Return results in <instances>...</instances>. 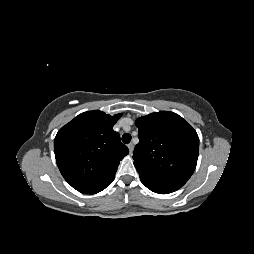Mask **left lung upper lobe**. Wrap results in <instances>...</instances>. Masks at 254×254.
<instances>
[{
	"label": "left lung upper lobe",
	"mask_w": 254,
	"mask_h": 254,
	"mask_svg": "<svg viewBox=\"0 0 254 254\" xmlns=\"http://www.w3.org/2000/svg\"><path fill=\"white\" fill-rule=\"evenodd\" d=\"M135 124L139 143L133 159L139 175L183 186L197 164L196 131L181 116L168 111L140 117Z\"/></svg>",
	"instance_id": "5c2ea615"
}]
</instances>
